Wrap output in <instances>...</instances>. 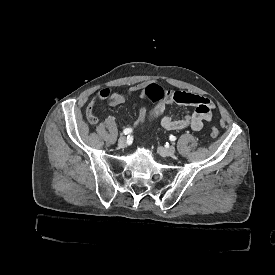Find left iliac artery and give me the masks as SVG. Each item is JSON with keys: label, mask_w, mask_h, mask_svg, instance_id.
I'll return each instance as SVG.
<instances>
[{"label": "left iliac artery", "mask_w": 275, "mask_h": 275, "mask_svg": "<svg viewBox=\"0 0 275 275\" xmlns=\"http://www.w3.org/2000/svg\"><path fill=\"white\" fill-rule=\"evenodd\" d=\"M169 139H170L171 141H175V140H176V137L173 136V135H170Z\"/></svg>", "instance_id": "left-iliac-artery-1"}]
</instances>
